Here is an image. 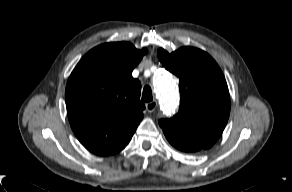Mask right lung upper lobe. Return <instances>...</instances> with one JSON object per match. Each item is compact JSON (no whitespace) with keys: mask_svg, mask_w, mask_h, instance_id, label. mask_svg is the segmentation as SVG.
I'll return each instance as SVG.
<instances>
[{"mask_svg":"<svg viewBox=\"0 0 292 192\" xmlns=\"http://www.w3.org/2000/svg\"><path fill=\"white\" fill-rule=\"evenodd\" d=\"M146 49L113 42L90 50L72 71L65 90L67 114L80 143L92 151L129 143L143 118L141 84L131 75Z\"/></svg>","mask_w":292,"mask_h":192,"instance_id":"cb5924a9","label":"right lung upper lobe"}]
</instances>
